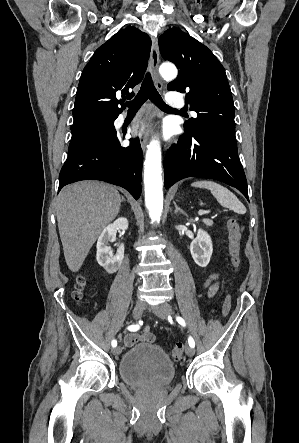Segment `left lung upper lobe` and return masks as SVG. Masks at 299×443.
Listing matches in <instances>:
<instances>
[{"mask_svg":"<svg viewBox=\"0 0 299 443\" xmlns=\"http://www.w3.org/2000/svg\"><path fill=\"white\" fill-rule=\"evenodd\" d=\"M158 42L163 58L179 68L168 90L188 91L186 104L198 114L185 122V133L211 131L235 139L234 103L222 64L205 45L179 29H168Z\"/></svg>","mask_w":299,"mask_h":443,"instance_id":"obj_1","label":"left lung upper lobe"}]
</instances>
